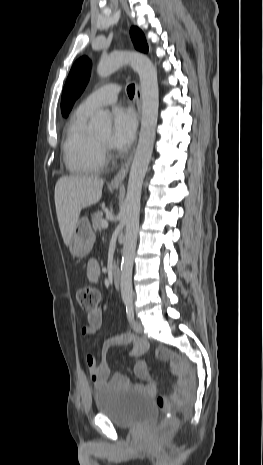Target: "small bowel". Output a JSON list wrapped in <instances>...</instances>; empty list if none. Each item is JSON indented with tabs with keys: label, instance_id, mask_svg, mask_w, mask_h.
Returning <instances> with one entry per match:
<instances>
[{
	"label": "small bowel",
	"instance_id": "1",
	"mask_svg": "<svg viewBox=\"0 0 263 465\" xmlns=\"http://www.w3.org/2000/svg\"><path fill=\"white\" fill-rule=\"evenodd\" d=\"M87 277L90 281L96 282L100 275V266L96 259H90L87 263L86 269ZM103 323V313L100 308L87 314V325L81 330L85 337L93 336L101 328ZM132 342L134 348L130 353L131 356L137 357V362L134 367L135 374L138 378L145 382L144 385L133 384L127 377L121 374H115L109 379V367L107 362L108 352L112 347L124 345ZM148 343L145 340L135 338L131 334L114 335L108 337L101 347L100 362L98 363L93 355H87L85 358L88 367L90 378L95 388L100 389L106 385L114 387H128L136 385L144 388L151 394H156L155 386L150 381V376L147 370L144 355L148 350Z\"/></svg>",
	"mask_w": 263,
	"mask_h": 465
}]
</instances>
